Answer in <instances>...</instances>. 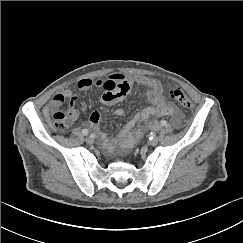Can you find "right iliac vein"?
<instances>
[{"mask_svg": "<svg viewBox=\"0 0 243 243\" xmlns=\"http://www.w3.org/2000/svg\"><path fill=\"white\" fill-rule=\"evenodd\" d=\"M86 142L88 143V144H92L93 142H94V139L92 138V137H90V136H88V137H86Z\"/></svg>", "mask_w": 243, "mask_h": 243, "instance_id": "1", "label": "right iliac vein"}]
</instances>
